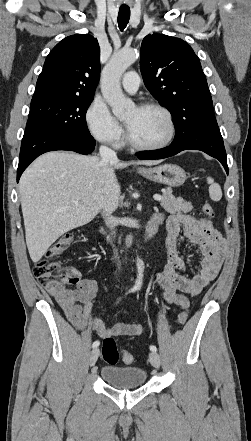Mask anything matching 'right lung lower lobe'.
Segmentation results:
<instances>
[{
    "label": "right lung lower lobe",
    "instance_id": "right-lung-lower-lobe-1",
    "mask_svg": "<svg viewBox=\"0 0 251 441\" xmlns=\"http://www.w3.org/2000/svg\"><path fill=\"white\" fill-rule=\"evenodd\" d=\"M95 144L96 142L91 135L76 136L41 124H27L21 143L17 182L29 164L45 152L69 150L89 154L94 150Z\"/></svg>",
    "mask_w": 251,
    "mask_h": 441
}]
</instances>
